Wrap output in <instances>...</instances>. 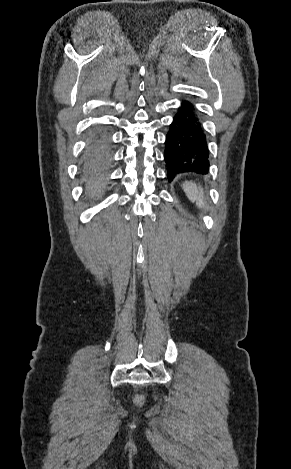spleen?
<instances>
[{"instance_id": "1", "label": "spleen", "mask_w": 291, "mask_h": 469, "mask_svg": "<svg viewBox=\"0 0 291 469\" xmlns=\"http://www.w3.org/2000/svg\"><path fill=\"white\" fill-rule=\"evenodd\" d=\"M183 190L191 202H196L198 208L205 206L204 193L201 188H198L193 182H185Z\"/></svg>"}]
</instances>
